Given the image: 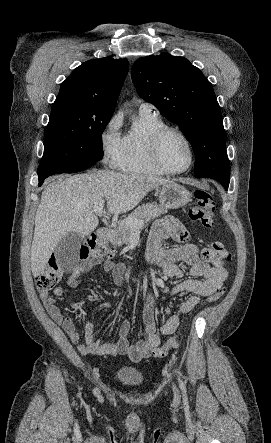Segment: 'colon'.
Returning <instances> with one entry per match:
<instances>
[{
    "mask_svg": "<svg viewBox=\"0 0 271 443\" xmlns=\"http://www.w3.org/2000/svg\"><path fill=\"white\" fill-rule=\"evenodd\" d=\"M196 204L189 210V218L198 222L204 228H211L215 223V201L212 194L205 189H198L195 191ZM111 254L110 249L103 240L91 238L80 249V257L84 260L98 261ZM203 258L214 265V267L222 268L223 264L229 260L230 254L220 242L211 243L203 250ZM63 276L57 259L52 257L48 265L36 278V288L40 293H47L52 290ZM225 288H219L215 293L210 295L207 303H214L218 301L225 293ZM178 347L176 337H171L167 342L153 350V356L156 358H163L171 351Z\"/></svg>",
    "mask_w": 271,
    "mask_h": 443,
    "instance_id": "5ec220e1",
    "label": "colon"
}]
</instances>
